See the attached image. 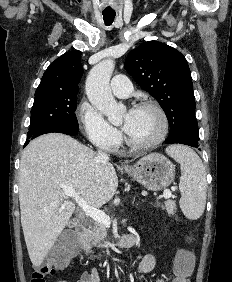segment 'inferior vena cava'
<instances>
[{"label": "inferior vena cava", "instance_id": "602c4592", "mask_svg": "<svg viewBox=\"0 0 232 282\" xmlns=\"http://www.w3.org/2000/svg\"><path fill=\"white\" fill-rule=\"evenodd\" d=\"M96 158L99 160V161H108L109 160V157L108 155L101 149H99L97 151V154H96Z\"/></svg>", "mask_w": 232, "mask_h": 282}]
</instances>
